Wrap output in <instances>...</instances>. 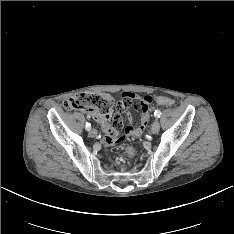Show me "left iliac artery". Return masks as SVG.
I'll return each instance as SVG.
<instances>
[{
	"label": "left iliac artery",
	"mask_w": 234,
	"mask_h": 234,
	"mask_svg": "<svg viewBox=\"0 0 234 234\" xmlns=\"http://www.w3.org/2000/svg\"><path fill=\"white\" fill-rule=\"evenodd\" d=\"M155 118H159L161 116V111L158 109L154 113Z\"/></svg>",
	"instance_id": "left-iliac-artery-1"
}]
</instances>
